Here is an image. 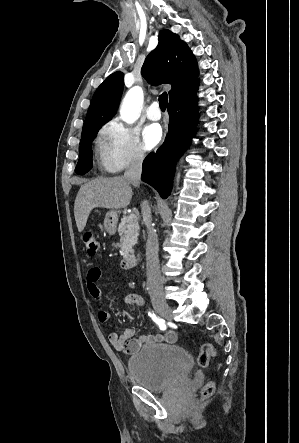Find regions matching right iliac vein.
<instances>
[{
    "label": "right iliac vein",
    "instance_id": "obj_1",
    "mask_svg": "<svg viewBox=\"0 0 299 443\" xmlns=\"http://www.w3.org/2000/svg\"><path fill=\"white\" fill-rule=\"evenodd\" d=\"M155 310L166 320H171L173 317L171 307L164 301H156L154 303Z\"/></svg>",
    "mask_w": 299,
    "mask_h": 443
}]
</instances>
